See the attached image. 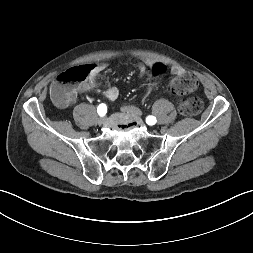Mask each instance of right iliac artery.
<instances>
[{
	"instance_id": "1",
	"label": "right iliac artery",
	"mask_w": 253,
	"mask_h": 253,
	"mask_svg": "<svg viewBox=\"0 0 253 253\" xmlns=\"http://www.w3.org/2000/svg\"><path fill=\"white\" fill-rule=\"evenodd\" d=\"M97 112L100 116H104L107 112V106L106 104L102 103L98 106Z\"/></svg>"
}]
</instances>
